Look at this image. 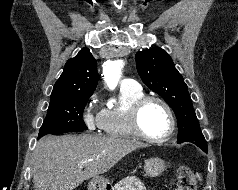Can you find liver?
Instances as JSON below:
<instances>
[{
	"mask_svg": "<svg viewBox=\"0 0 238 190\" xmlns=\"http://www.w3.org/2000/svg\"><path fill=\"white\" fill-rule=\"evenodd\" d=\"M144 146L137 141L91 135L45 136L34 151V190H73Z\"/></svg>",
	"mask_w": 238,
	"mask_h": 190,
	"instance_id": "6515ba94",
	"label": "liver"
}]
</instances>
